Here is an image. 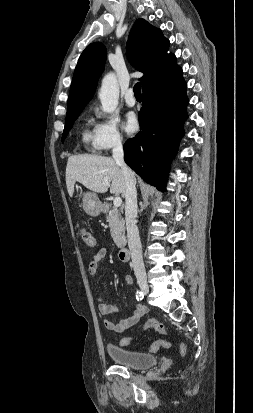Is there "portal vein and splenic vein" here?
I'll use <instances>...</instances> for the list:
<instances>
[{
    "label": "portal vein and splenic vein",
    "instance_id": "portal-vein-and-splenic-vein-1",
    "mask_svg": "<svg viewBox=\"0 0 253 413\" xmlns=\"http://www.w3.org/2000/svg\"><path fill=\"white\" fill-rule=\"evenodd\" d=\"M113 204H114L115 208L120 207L121 204H122V199L120 197H115L114 200H113Z\"/></svg>",
    "mask_w": 253,
    "mask_h": 413
}]
</instances>
